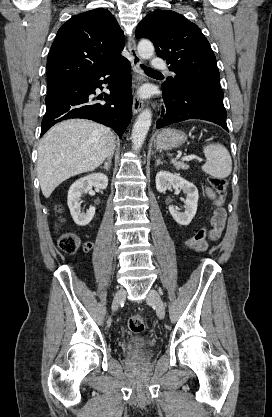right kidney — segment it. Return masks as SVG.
<instances>
[{"label": "right kidney", "mask_w": 272, "mask_h": 417, "mask_svg": "<svg viewBox=\"0 0 272 417\" xmlns=\"http://www.w3.org/2000/svg\"><path fill=\"white\" fill-rule=\"evenodd\" d=\"M108 177L101 173H94L80 178L74 182L68 191V207L74 222L79 226L88 225L94 217L95 207L90 206L86 212H81L80 198L82 193H87L92 187L106 189Z\"/></svg>", "instance_id": "ca27d5eb"}]
</instances>
